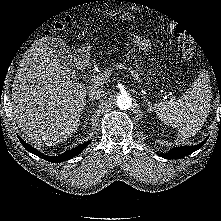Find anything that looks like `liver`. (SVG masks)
Masks as SVG:
<instances>
[{"label": "liver", "instance_id": "6515ba94", "mask_svg": "<svg viewBox=\"0 0 221 221\" xmlns=\"http://www.w3.org/2000/svg\"><path fill=\"white\" fill-rule=\"evenodd\" d=\"M87 88L72 82L49 39L36 42L22 59L12 86L13 117L34 142L57 145L79 126Z\"/></svg>", "mask_w": 221, "mask_h": 221}]
</instances>
